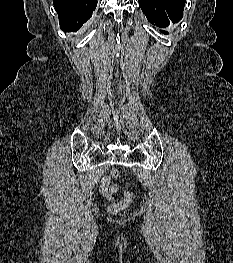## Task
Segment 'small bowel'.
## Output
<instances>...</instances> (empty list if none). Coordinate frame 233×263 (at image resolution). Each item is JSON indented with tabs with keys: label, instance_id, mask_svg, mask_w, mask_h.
Segmentation results:
<instances>
[{
	"label": "small bowel",
	"instance_id": "small-bowel-1",
	"mask_svg": "<svg viewBox=\"0 0 233 263\" xmlns=\"http://www.w3.org/2000/svg\"><path fill=\"white\" fill-rule=\"evenodd\" d=\"M99 192L104 198L112 201L114 194L118 192V186L116 184H111L110 177L104 175L100 180Z\"/></svg>",
	"mask_w": 233,
	"mask_h": 263
}]
</instances>
